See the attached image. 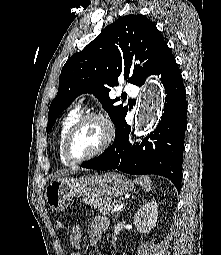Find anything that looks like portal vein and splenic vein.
Instances as JSON below:
<instances>
[{
  "mask_svg": "<svg viewBox=\"0 0 221 255\" xmlns=\"http://www.w3.org/2000/svg\"><path fill=\"white\" fill-rule=\"evenodd\" d=\"M120 209L119 205L115 206L112 210L113 212L118 211Z\"/></svg>",
  "mask_w": 221,
  "mask_h": 255,
  "instance_id": "18ae733b",
  "label": "portal vein and splenic vein"
}]
</instances>
